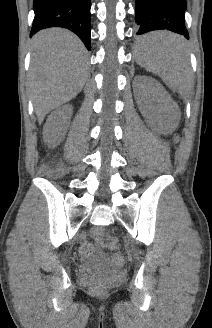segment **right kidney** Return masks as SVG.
<instances>
[{
    "label": "right kidney",
    "mask_w": 212,
    "mask_h": 328,
    "mask_svg": "<svg viewBox=\"0 0 212 328\" xmlns=\"http://www.w3.org/2000/svg\"><path fill=\"white\" fill-rule=\"evenodd\" d=\"M72 112V105H64L53 111L44 126V135H51L54 133L60 134L64 131L65 125H67L71 119Z\"/></svg>",
    "instance_id": "1"
}]
</instances>
